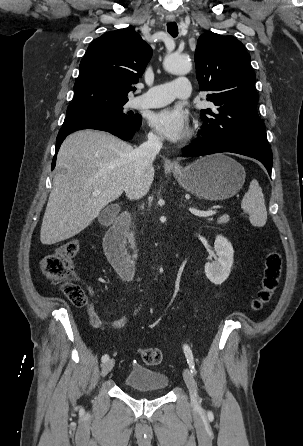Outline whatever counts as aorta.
<instances>
[{
    "label": "aorta",
    "instance_id": "aorta-1",
    "mask_svg": "<svg viewBox=\"0 0 303 446\" xmlns=\"http://www.w3.org/2000/svg\"><path fill=\"white\" fill-rule=\"evenodd\" d=\"M164 68L172 74H187L191 69L189 59L182 56L169 55L164 60Z\"/></svg>",
    "mask_w": 303,
    "mask_h": 446
}]
</instances>
